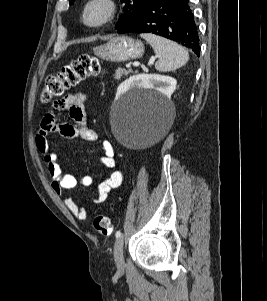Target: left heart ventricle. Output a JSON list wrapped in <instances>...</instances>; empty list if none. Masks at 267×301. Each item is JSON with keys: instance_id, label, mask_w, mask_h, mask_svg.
<instances>
[{"instance_id": "b2bd125f", "label": "left heart ventricle", "mask_w": 267, "mask_h": 301, "mask_svg": "<svg viewBox=\"0 0 267 301\" xmlns=\"http://www.w3.org/2000/svg\"><path fill=\"white\" fill-rule=\"evenodd\" d=\"M102 13H103V8L101 6L99 5L94 6L88 12V18L89 20H96L102 15Z\"/></svg>"}]
</instances>
